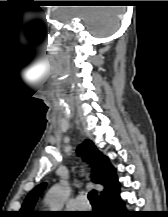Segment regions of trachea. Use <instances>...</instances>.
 <instances>
[{
    "label": "trachea",
    "instance_id": "1",
    "mask_svg": "<svg viewBox=\"0 0 168 217\" xmlns=\"http://www.w3.org/2000/svg\"><path fill=\"white\" fill-rule=\"evenodd\" d=\"M88 199L92 205L98 206L97 192L95 190L89 192Z\"/></svg>",
    "mask_w": 168,
    "mask_h": 217
}]
</instances>
